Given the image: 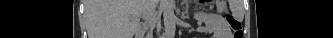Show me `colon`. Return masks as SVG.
<instances>
[{"mask_svg":"<svg viewBox=\"0 0 333 38\" xmlns=\"http://www.w3.org/2000/svg\"><path fill=\"white\" fill-rule=\"evenodd\" d=\"M227 21L233 30V38H242L243 31H242L241 22L233 16H228Z\"/></svg>","mask_w":333,"mask_h":38,"instance_id":"obj_1","label":"colon"}]
</instances>
